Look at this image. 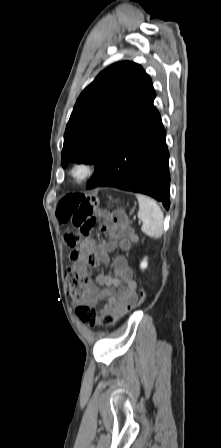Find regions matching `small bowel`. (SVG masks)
Returning a JSON list of instances; mask_svg holds the SVG:
<instances>
[{
	"label": "small bowel",
	"mask_w": 221,
	"mask_h": 448,
	"mask_svg": "<svg viewBox=\"0 0 221 448\" xmlns=\"http://www.w3.org/2000/svg\"><path fill=\"white\" fill-rule=\"evenodd\" d=\"M99 218L104 223L105 231L109 233V239L102 243L97 251H94L92 241L82 239L75 232H66L63 235L64 242L71 248L69 258L81 273H87L90 267L109 264V252L117 248L121 251L113 260L114 275H98L87 284L80 300V303L92 309L101 301H105L104 307L96 313V325L101 324L108 315H114L118 319L136 299L137 285L132 279V270L123 253L139 240L129 225L114 223L107 212H102Z\"/></svg>",
	"instance_id": "c3829d8e"
}]
</instances>
